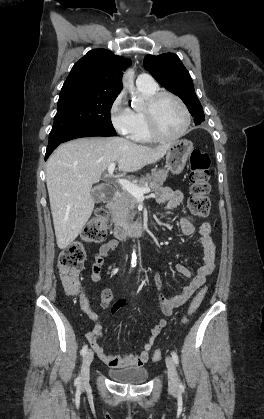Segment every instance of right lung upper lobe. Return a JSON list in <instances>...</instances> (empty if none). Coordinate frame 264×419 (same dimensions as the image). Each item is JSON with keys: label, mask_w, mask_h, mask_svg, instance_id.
Segmentation results:
<instances>
[{"label": "right lung upper lobe", "mask_w": 264, "mask_h": 419, "mask_svg": "<svg viewBox=\"0 0 264 419\" xmlns=\"http://www.w3.org/2000/svg\"><path fill=\"white\" fill-rule=\"evenodd\" d=\"M131 60L106 49H94L74 64L63 87L83 86L90 90L119 94L123 71Z\"/></svg>", "instance_id": "cb5924a9"}]
</instances>
